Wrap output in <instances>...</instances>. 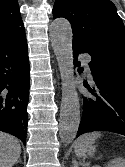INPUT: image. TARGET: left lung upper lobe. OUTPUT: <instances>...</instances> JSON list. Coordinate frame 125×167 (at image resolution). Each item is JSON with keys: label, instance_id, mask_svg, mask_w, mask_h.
Masks as SVG:
<instances>
[{"label": "left lung upper lobe", "instance_id": "5c2ea615", "mask_svg": "<svg viewBox=\"0 0 125 167\" xmlns=\"http://www.w3.org/2000/svg\"><path fill=\"white\" fill-rule=\"evenodd\" d=\"M53 17L72 26L73 44L88 52H114L125 59V27L110 0H56Z\"/></svg>", "mask_w": 125, "mask_h": 167}]
</instances>
